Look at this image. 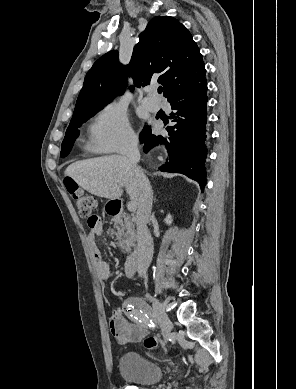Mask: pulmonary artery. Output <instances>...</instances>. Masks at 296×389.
Returning <instances> with one entry per match:
<instances>
[{"label":"pulmonary artery","instance_id":"1","mask_svg":"<svg viewBox=\"0 0 296 389\" xmlns=\"http://www.w3.org/2000/svg\"><path fill=\"white\" fill-rule=\"evenodd\" d=\"M142 104L145 108H147L148 110H150L152 112L158 111L159 107H160L158 99L155 95L145 97L142 100Z\"/></svg>","mask_w":296,"mask_h":389}]
</instances>
